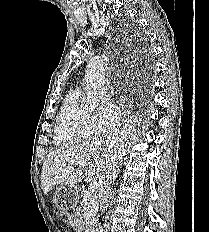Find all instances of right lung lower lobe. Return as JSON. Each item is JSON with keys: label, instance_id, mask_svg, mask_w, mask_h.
Returning <instances> with one entry per match:
<instances>
[{"label": "right lung lower lobe", "instance_id": "1", "mask_svg": "<svg viewBox=\"0 0 209 232\" xmlns=\"http://www.w3.org/2000/svg\"><path fill=\"white\" fill-rule=\"evenodd\" d=\"M140 61H141V64L143 65H147L148 66V69H149V66L151 65V51L148 49V47L146 46H143L141 49H140ZM140 69L137 67L136 68V71L138 74L141 73V70L139 71ZM148 72V71H147Z\"/></svg>", "mask_w": 209, "mask_h": 232}]
</instances>
